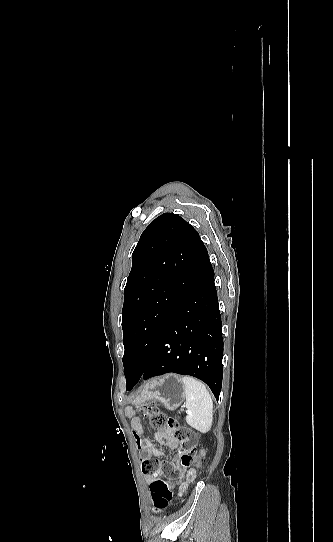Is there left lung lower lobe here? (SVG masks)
Listing matches in <instances>:
<instances>
[{
    "mask_svg": "<svg viewBox=\"0 0 333 542\" xmlns=\"http://www.w3.org/2000/svg\"><path fill=\"white\" fill-rule=\"evenodd\" d=\"M222 322L210 260L162 328L141 376L126 382L131 390L141 379L173 372L204 381L218 400L222 387Z\"/></svg>",
    "mask_w": 333,
    "mask_h": 542,
    "instance_id": "obj_1",
    "label": "left lung lower lobe"
}]
</instances>
